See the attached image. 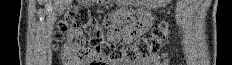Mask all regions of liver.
<instances>
[{
    "label": "liver",
    "mask_w": 232,
    "mask_h": 65,
    "mask_svg": "<svg viewBox=\"0 0 232 65\" xmlns=\"http://www.w3.org/2000/svg\"><path fill=\"white\" fill-rule=\"evenodd\" d=\"M54 8L58 12H62L71 2L72 0H53Z\"/></svg>",
    "instance_id": "obj_1"
}]
</instances>
